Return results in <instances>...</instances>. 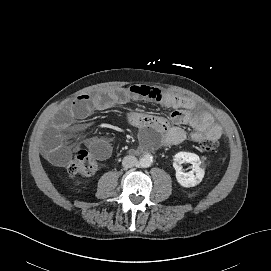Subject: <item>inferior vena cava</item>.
Listing matches in <instances>:
<instances>
[{"label":"inferior vena cava","mask_w":271,"mask_h":271,"mask_svg":"<svg viewBox=\"0 0 271 271\" xmlns=\"http://www.w3.org/2000/svg\"><path fill=\"white\" fill-rule=\"evenodd\" d=\"M138 165V160L135 156L127 155L122 160V166L124 168H132Z\"/></svg>","instance_id":"602c4592"}]
</instances>
